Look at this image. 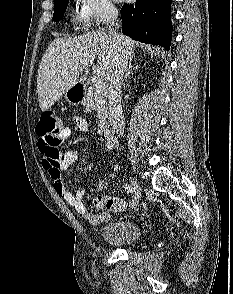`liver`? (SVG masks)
<instances>
[{
    "label": "liver",
    "instance_id": "6515ba94",
    "mask_svg": "<svg viewBox=\"0 0 233 294\" xmlns=\"http://www.w3.org/2000/svg\"><path fill=\"white\" fill-rule=\"evenodd\" d=\"M127 57L135 42L119 34ZM116 47L110 33L94 31L74 38H57L47 48L39 65L37 94L42 111L48 110L64 93L78 83L83 71L93 65L97 78L109 79Z\"/></svg>",
    "mask_w": 233,
    "mask_h": 294
}]
</instances>
